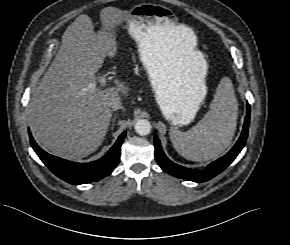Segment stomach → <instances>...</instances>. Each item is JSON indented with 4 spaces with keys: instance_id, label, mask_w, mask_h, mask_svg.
Segmentation results:
<instances>
[{
    "instance_id": "1",
    "label": "stomach",
    "mask_w": 290,
    "mask_h": 245,
    "mask_svg": "<svg viewBox=\"0 0 290 245\" xmlns=\"http://www.w3.org/2000/svg\"><path fill=\"white\" fill-rule=\"evenodd\" d=\"M141 8L133 9L126 18L128 33L138 45L140 60L162 113L175 126L187 125L194 120L207 94L205 60L195 53L192 62L180 69L168 37V32L176 28L170 14Z\"/></svg>"
}]
</instances>
